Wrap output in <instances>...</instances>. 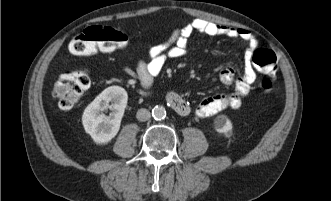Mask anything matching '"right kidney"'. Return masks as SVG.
<instances>
[{
	"mask_svg": "<svg viewBox=\"0 0 331 201\" xmlns=\"http://www.w3.org/2000/svg\"><path fill=\"white\" fill-rule=\"evenodd\" d=\"M128 95L120 86H110L103 90L84 110L82 123L95 143L107 144L118 133ZM110 109L109 115L103 111Z\"/></svg>",
	"mask_w": 331,
	"mask_h": 201,
	"instance_id": "right-kidney-1",
	"label": "right kidney"
}]
</instances>
